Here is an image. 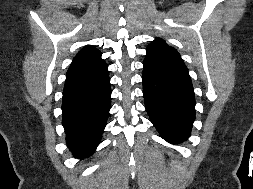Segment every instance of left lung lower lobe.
Masks as SVG:
<instances>
[{
    "label": "left lung lower lobe",
    "mask_w": 253,
    "mask_h": 189,
    "mask_svg": "<svg viewBox=\"0 0 253 189\" xmlns=\"http://www.w3.org/2000/svg\"><path fill=\"white\" fill-rule=\"evenodd\" d=\"M143 94L151 122L167 142L185 141L195 120V95L188 73L143 63Z\"/></svg>",
    "instance_id": "1"
}]
</instances>
